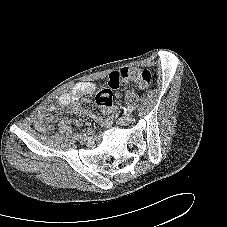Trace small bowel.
Segmentation results:
<instances>
[{
    "label": "small bowel",
    "instance_id": "c3829d8e",
    "mask_svg": "<svg viewBox=\"0 0 227 227\" xmlns=\"http://www.w3.org/2000/svg\"><path fill=\"white\" fill-rule=\"evenodd\" d=\"M95 90V84L91 82H79L69 92L60 94L56 99V103L48 104L42 113L39 114L36 121L38 130L46 132L50 128V124L57 120V117L52 114L56 112L58 106L68 108L74 114L86 115L92 118L97 124L108 125L110 122L109 119H103L91 110L85 109L82 105V100H86V98L82 99V97L93 94ZM115 110L116 107L112 105L105 113L110 114ZM60 124L80 125L79 121L75 119H63L60 121Z\"/></svg>",
    "mask_w": 227,
    "mask_h": 227
}]
</instances>
